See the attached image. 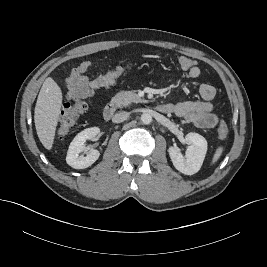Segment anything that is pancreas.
<instances>
[{"label": "pancreas", "mask_w": 267, "mask_h": 267, "mask_svg": "<svg viewBox=\"0 0 267 267\" xmlns=\"http://www.w3.org/2000/svg\"><path fill=\"white\" fill-rule=\"evenodd\" d=\"M142 101L143 100L133 91H121L112 98V102L117 107H126L133 102Z\"/></svg>", "instance_id": "cf45deb5"}]
</instances>
